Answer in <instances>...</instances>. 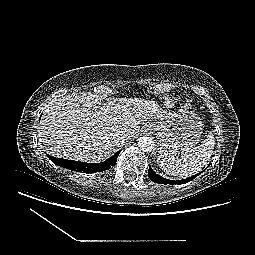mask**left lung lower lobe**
Segmentation results:
<instances>
[{"instance_id":"obj_1","label":"left lung lower lobe","mask_w":255,"mask_h":255,"mask_svg":"<svg viewBox=\"0 0 255 255\" xmlns=\"http://www.w3.org/2000/svg\"><path fill=\"white\" fill-rule=\"evenodd\" d=\"M203 171H201L200 173L194 175V176H191L187 179H183V180H178V181H174V180H168V179H165L163 178L162 176L156 174L152 169L151 167H149V170H148V176L149 178L154 181L155 183H159V184H185V183H188L190 182L191 180H193L195 177H197L198 175H200Z\"/></svg>"}]
</instances>
